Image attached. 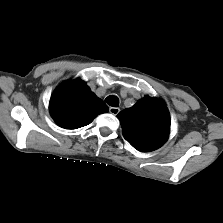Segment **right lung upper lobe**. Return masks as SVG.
<instances>
[{"label":"right lung upper lobe","mask_w":223,"mask_h":223,"mask_svg":"<svg viewBox=\"0 0 223 223\" xmlns=\"http://www.w3.org/2000/svg\"><path fill=\"white\" fill-rule=\"evenodd\" d=\"M49 109L56 124L65 129L86 126L108 111L106 104L79 79L59 86L51 96Z\"/></svg>","instance_id":"1"}]
</instances>
